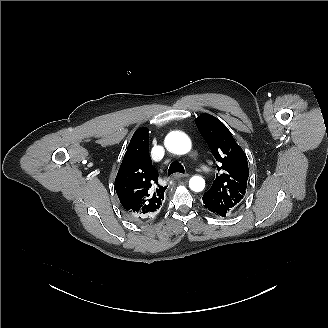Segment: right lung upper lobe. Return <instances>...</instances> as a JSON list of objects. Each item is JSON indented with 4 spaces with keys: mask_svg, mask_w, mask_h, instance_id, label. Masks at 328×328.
<instances>
[{
    "mask_svg": "<svg viewBox=\"0 0 328 328\" xmlns=\"http://www.w3.org/2000/svg\"><path fill=\"white\" fill-rule=\"evenodd\" d=\"M148 128L138 129L127 147L115 189L127 214L138 221L155 218L163 209L164 191L149 155Z\"/></svg>",
    "mask_w": 328,
    "mask_h": 328,
    "instance_id": "right-lung-upper-lobe-1",
    "label": "right lung upper lobe"
}]
</instances>
